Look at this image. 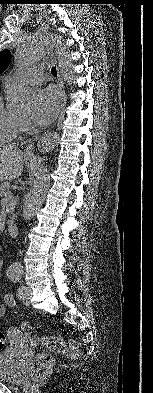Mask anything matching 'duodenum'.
<instances>
[{"mask_svg": "<svg viewBox=\"0 0 153 393\" xmlns=\"http://www.w3.org/2000/svg\"><path fill=\"white\" fill-rule=\"evenodd\" d=\"M7 229H8V232H9V234H10L11 236L14 237V236L17 235L18 226H17L16 223H11V224H9L8 227H7Z\"/></svg>", "mask_w": 153, "mask_h": 393, "instance_id": "1", "label": "duodenum"}]
</instances>
